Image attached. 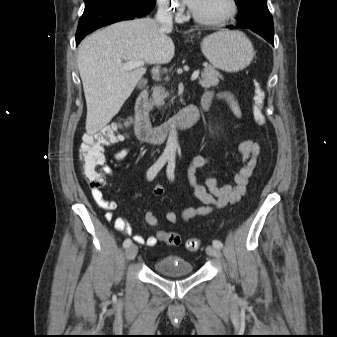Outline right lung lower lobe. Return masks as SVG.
Listing matches in <instances>:
<instances>
[{
	"label": "right lung lower lobe",
	"mask_w": 337,
	"mask_h": 337,
	"mask_svg": "<svg viewBox=\"0 0 337 337\" xmlns=\"http://www.w3.org/2000/svg\"><path fill=\"white\" fill-rule=\"evenodd\" d=\"M155 6V0H85V10L76 32V45L89 33L103 26L143 17Z\"/></svg>",
	"instance_id": "obj_1"
}]
</instances>
